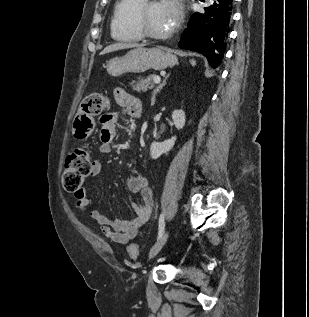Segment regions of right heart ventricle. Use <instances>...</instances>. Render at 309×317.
Segmentation results:
<instances>
[{"label": "right heart ventricle", "mask_w": 309, "mask_h": 317, "mask_svg": "<svg viewBox=\"0 0 309 317\" xmlns=\"http://www.w3.org/2000/svg\"><path fill=\"white\" fill-rule=\"evenodd\" d=\"M146 0H118L111 19V35L114 39L123 42L139 41L143 38L136 18L139 7Z\"/></svg>", "instance_id": "right-heart-ventricle-1"}]
</instances>
